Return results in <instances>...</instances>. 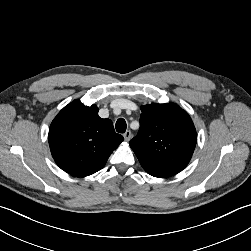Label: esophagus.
Wrapping results in <instances>:
<instances>
[{
    "mask_svg": "<svg viewBox=\"0 0 251 251\" xmlns=\"http://www.w3.org/2000/svg\"><path fill=\"white\" fill-rule=\"evenodd\" d=\"M131 137H132L131 131H130V130H127V131L124 133V139H125L126 141H129V140L131 139Z\"/></svg>",
    "mask_w": 251,
    "mask_h": 251,
    "instance_id": "34e87169",
    "label": "esophagus"
}]
</instances>
